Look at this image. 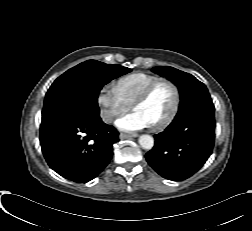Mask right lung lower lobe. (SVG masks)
Masks as SVG:
<instances>
[{
  "label": "right lung lower lobe",
  "instance_id": "1",
  "mask_svg": "<svg viewBox=\"0 0 252 231\" xmlns=\"http://www.w3.org/2000/svg\"><path fill=\"white\" fill-rule=\"evenodd\" d=\"M119 133L99 114L64 109L42 118L40 144L49 166L77 183L95 178L109 163Z\"/></svg>",
  "mask_w": 252,
  "mask_h": 231
}]
</instances>
